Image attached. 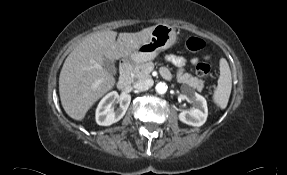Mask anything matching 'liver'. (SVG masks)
I'll use <instances>...</instances> for the list:
<instances>
[{"instance_id":"6515ba94","label":"liver","mask_w":287,"mask_h":175,"mask_svg":"<svg viewBox=\"0 0 287 175\" xmlns=\"http://www.w3.org/2000/svg\"><path fill=\"white\" fill-rule=\"evenodd\" d=\"M154 26L136 33L105 30L88 35L68 55L59 77V94L65 112L82 120L91 106L115 85V78L103 68L104 58L128 57L147 42Z\"/></svg>"}]
</instances>
